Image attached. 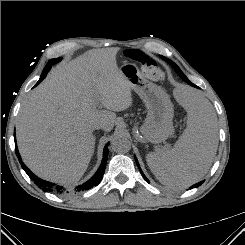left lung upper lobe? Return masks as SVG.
I'll return each mask as SVG.
<instances>
[{
  "mask_svg": "<svg viewBox=\"0 0 245 245\" xmlns=\"http://www.w3.org/2000/svg\"><path fill=\"white\" fill-rule=\"evenodd\" d=\"M161 58L167 61L170 65H172V67L176 70V72L179 74L180 77L184 75L183 72L179 69V67L174 62H172L170 59L163 57V56H161Z\"/></svg>",
  "mask_w": 245,
  "mask_h": 245,
  "instance_id": "1",
  "label": "left lung upper lobe"
}]
</instances>
